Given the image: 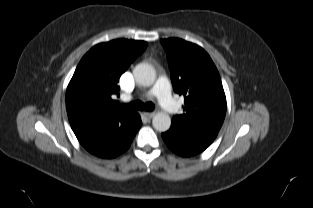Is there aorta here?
<instances>
[{
    "mask_svg": "<svg viewBox=\"0 0 313 208\" xmlns=\"http://www.w3.org/2000/svg\"><path fill=\"white\" fill-rule=\"evenodd\" d=\"M135 81L144 87L151 86L156 79V73L152 66L141 63L138 64L133 70ZM152 125L155 130L165 132L171 126V118L166 112H157L152 120Z\"/></svg>",
    "mask_w": 313,
    "mask_h": 208,
    "instance_id": "aorta-1",
    "label": "aorta"
}]
</instances>
